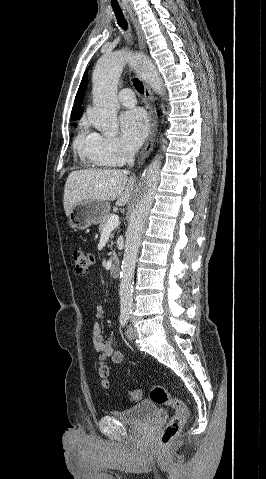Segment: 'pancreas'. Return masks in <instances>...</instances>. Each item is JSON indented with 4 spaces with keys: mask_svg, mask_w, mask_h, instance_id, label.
I'll use <instances>...</instances> for the list:
<instances>
[{
    "mask_svg": "<svg viewBox=\"0 0 266 479\" xmlns=\"http://www.w3.org/2000/svg\"><path fill=\"white\" fill-rule=\"evenodd\" d=\"M111 216H113V214H107V215L103 218V220L100 222V225H99V231H100V232L103 231L104 227H105L106 224H107L108 219H109Z\"/></svg>",
    "mask_w": 266,
    "mask_h": 479,
    "instance_id": "pancreas-1",
    "label": "pancreas"
}]
</instances>
